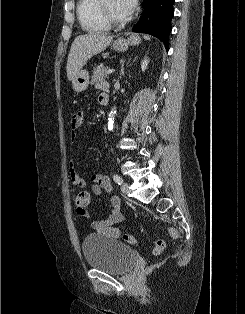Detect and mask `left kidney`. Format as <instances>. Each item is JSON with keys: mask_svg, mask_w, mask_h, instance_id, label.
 I'll return each instance as SVG.
<instances>
[{"mask_svg": "<svg viewBox=\"0 0 245 314\" xmlns=\"http://www.w3.org/2000/svg\"><path fill=\"white\" fill-rule=\"evenodd\" d=\"M148 63H149V60H148V59H145V60L142 61V63H141V69H142V71H145V69H146L147 66H148Z\"/></svg>", "mask_w": 245, "mask_h": 314, "instance_id": "1", "label": "left kidney"}]
</instances>
